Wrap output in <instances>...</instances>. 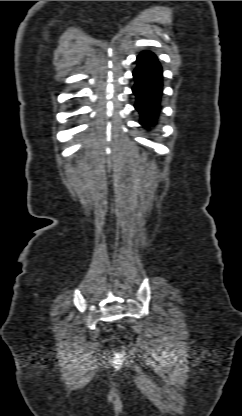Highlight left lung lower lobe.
<instances>
[{
  "instance_id": "left-lung-lower-lobe-1",
  "label": "left lung lower lobe",
  "mask_w": 242,
  "mask_h": 416,
  "mask_svg": "<svg viewBox=\"0 0 242 416\" xmlns=\"http://www.w3.org/2000/svg\"><path fill=\"white\" fill-rule=\"evenodd\" d=\"M137 67L133 72L136 96L135 109L139 112V123L146 129L154 127L161 111L162 68L155 54L143 51L137 57Z\"/></svg>"
}]
</instances>
